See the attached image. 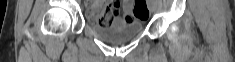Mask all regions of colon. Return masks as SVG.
<instances>
[{"label": "colon", "instance_id": "5ec220e1", "mask_svg": "<svg viewBox=\"0 0 235 62\" xmlns=\"http://www.w3.org/2000/svg\"><path fill=\"white\" fill-rule=\"evenodd\" d=\"M133 17L139 18H147L148 10L144 0H136L134 3L133 16H131L128 20H132ZM99 23L108 26L111 24V17L109 15V11L106 6L102 7V15L100 17Z\"/></svg>", "mask_w": 235, "mask_h": 62}]
</instances>
